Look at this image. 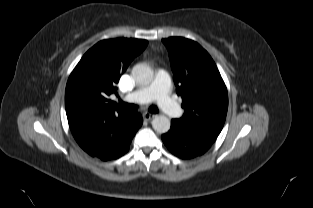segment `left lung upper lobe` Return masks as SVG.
<instances>
[{"label":"left lung upper lobe","instance_id":"left-lung-upper-lobe-1","mask_svg":"<svg viewBox=\"0 0 313 208\" xmlns=\"http://www.w3.org/2000/svg\"><path fill=\"white\" fill-rule=\"evenodd\" d=\"M168 49L177 94L185 113L175 119L190 131L218 136L228 109V93L218 68L198 43L182 38L162 39Z\"/></svg>","mask_w":313,"mask_h":208}]
</instances>
